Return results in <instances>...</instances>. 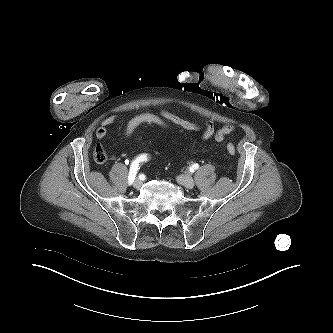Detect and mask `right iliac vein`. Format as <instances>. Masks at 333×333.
Returning <instances> with one entry per match:
<instances>
[{"label":"right iliac vein","instance_id":"right-iliac-vein-1","mask_svg":"<svg viewBox=\"0 0 333 333\" xmlns=\"http://www.w3.org/2000/svg\"><path fill=\"white\" fill-rule=\"evenodd\" d=\"M133 186L136 188V189H139L141 186H142V182L140 179H135L134 183H133Z\"/></svg>","mask_w":333,"mask_h":333}]
</instances>
